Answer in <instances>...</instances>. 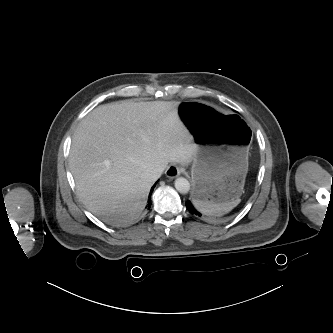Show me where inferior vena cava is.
I'll return each instance as SVG.
<instances>
[{
    "label": "inferior vena cava",
    "instance_id": "1",
    "mask_svg": "<svg viewBox=\"0 0 333 333\" xmlns=\"http://www.w3.org/2000/svg\"><path fill=\"white\" fill-rule=\"evenodd\" d=\"M162 172H163L162 168L148 169L145 172L144 176L145 177H150V178H153V179L156 180L161 176Z\"/></svg>",
    "mask_w": 333,
    "mask_h": 333
}]
</instances>
